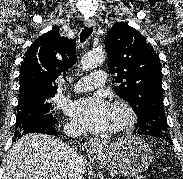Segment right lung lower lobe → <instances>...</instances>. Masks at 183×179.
Masks as SVG:
<instances>
[{
    "mask_svg": "<svg viewBox=\"0 0 183 179\" xmlns=\"http://www.w3.org/2000/svg\"><path fill=\"white\" fill-rule=\"evenodd\" d=\"M28 133H44V134H48V135H56L57 130L55 129L54 125L28 129L26 131L20 132L19 135L14 136V140H16V139L20 138L21 136L28 134Z\"/></svg>",
    "mask_w": 183,
    "mask_h": 179,
    "instance_id": "obj_1",
    "label": "right lung lower lobe"
}]
</instances>
